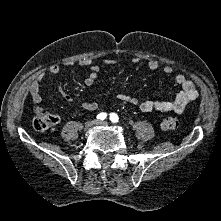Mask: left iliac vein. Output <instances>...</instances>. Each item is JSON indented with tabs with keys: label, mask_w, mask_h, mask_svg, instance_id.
Returning <instances> with one entry per match:
<instances>
[{
	"label": "left iliac vein",
	"mask_w": 221,
	"mask_h": 221,
	"mask_svg": "<svg viewBox=\"0 0 221 221\" xmlns=\"http://www.w3.org/2000/svg\"><path fill=\"white\" fill-rule=\"evenodd\" d=\"M96 124L97 125H103V126H107L108 125V123L105 122V121H97Z\"/></svg>",
	"instance_id": "left-iliac-vein-1"
}]
</instances>
